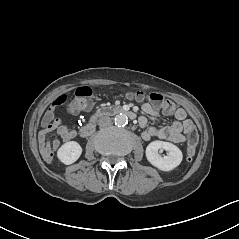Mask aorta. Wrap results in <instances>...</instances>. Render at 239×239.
Listing matches in <instances>:
<instances>
[{"label": "aorta", "instance_id": "aorta-1", "mask_svg": "<svg viewBox=\"0 0 239 239\" xmlns=\"http://www.w3.org/2000/svg\"><path fill=\"white\" fill-rule=\"evenodd\" d=\"M114 123L118 127H124L128 124V117L125 114H118L114 118Z\"/></svg>", "mask_w": 239, "mask_h": 239}]
</instances>
